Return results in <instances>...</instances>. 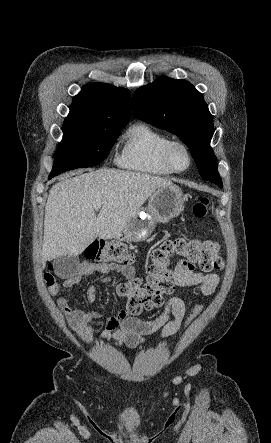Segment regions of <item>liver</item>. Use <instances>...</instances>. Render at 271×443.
<instances>
[{
  "mask_svg": "<svg viewBox=\"0 0 271 443\" xmlns=\"http://www.w3.org/2000/svg\"><path fill=\"white\" fill-rule=\"evenodd\" d=\"M74 176V178H73ZM163 180L140 172L102 168L89 174H64L52 186L44 216L42 263L60 255H79L96 237L112 239L139 214L149 196ZM102 204L95 214L94 204Z\"/></svg>",
  "mask_w": 271,
  "mask_h": 443,
  "instance_id": "1",
  "label": "liver"
}]
</instances>
